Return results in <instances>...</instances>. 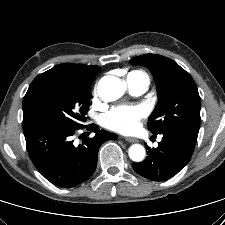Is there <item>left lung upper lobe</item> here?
Listing matches in <instances>:
<instances>
[{
    "label": "left lung upper lobe",
    "mask_w": 225,
    "mask_h": 225,
    "mask_svg": "<svg viewBox=\"0 0 225 225\" xmlns=\"http://www.w3.org/2000/svg\"><path fill=\"white\" fill-rule=\"evenodd\" d=\"M130 63L148 67L156 82L159 101L148 119V129L154 135L173 130L197 137L201 101L192 77L175 61L161 55L144 54Z\"/></svg>",
    "instance_id": "1"
}]
</instances>
